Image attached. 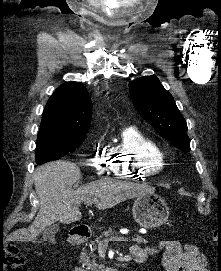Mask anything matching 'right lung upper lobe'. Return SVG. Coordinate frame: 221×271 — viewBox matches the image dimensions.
I'll return each mask as SVG.
<instances>
[{
  "instance_id": "right-lung-upper-lobe-1",
  "label": "right lung upper lobe",
  "mask_w": 221,
  "mask_h": 271,
  "mask_svg": "<svg viewBox=\"0 0 221 271\" xmlns=\"http://www.w3.org/2000/svg\"><path fill=\"white\" fill-rule=\"evenodd\" d=\"M92 102L87 89L67 82L55 90L42 115L39 135H86L90 129Z\"/></svg>"
}]
</instances>
